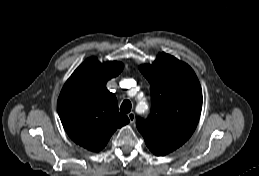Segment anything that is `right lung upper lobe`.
<instances>
[{
  "label": "right lung upper lobe",
  "instance_id": "cb5924a9",
  "mask_svg": "<svg viewBox=\"0 0 259 176\" xmlns=\"http://www.w3.org/2000/svg\"><path fill=\"white\" fill-rule=\"evenodd\" d=\"M117 61L85 60L67 80L58 98V113L69 137L90 151L103 149L117 128L129 123L118 112L115 95L106 88L123 70Z\"/></svg>",
  "mask_w": 259,
  "mask_h": 176
}]
</instances>
